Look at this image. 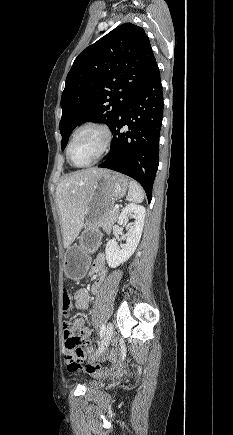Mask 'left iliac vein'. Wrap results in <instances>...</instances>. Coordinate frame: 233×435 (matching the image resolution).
<instances>
[{"instance_id":"left-iliac-vein-1","label":"left iliac vein","mask_w":233,"mask_h":435,"mask_svg":"<svg viewBox=\"0 0 233 435\" xmlns=\"http://www.w3.org/2000/svg\"><path fill=\"white\" fill-rule=\"evenodd\" d=\"M113 333H114L113 325L111 323H108L103 341L96 352V356L100 355L105 350V348L109 345L110 341L113 338Z\"/></svg>"}]
</instances>
